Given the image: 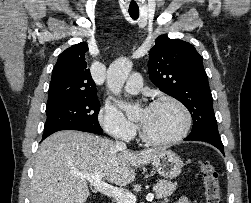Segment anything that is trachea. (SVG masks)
I'll return each instance as SVG.
<instances>
[{
    "label": "trachea",
    "instance_id": "3493384b",
    "mask_svg": "<svg viewBox=\"0 0 251 203\" xmlns=\"http://www.w3.org/2000/svg\"><path fill=\"white\" fill-rule=\"evenodd\" d=\"M129 14L134 20H136L139 17V10H129Z\"/></svg>",
    "mask_w": 251,
    "mask_h": 203
}]
</instances>
